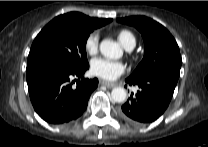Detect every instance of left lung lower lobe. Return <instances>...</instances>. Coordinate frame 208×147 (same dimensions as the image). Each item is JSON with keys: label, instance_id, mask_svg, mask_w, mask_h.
<instances>
[{"label": "left lung lower lobe", "instance_id": "obj_1", "mask_svg": "<svg viewBox=\"0 0 208 147\" xmlns=\"http://www.w3.org/2000/svg\"><path fill=\"white\" fill-rule=\"evenodd\" d=\"M177 79L167 74H151L139 79L127 78L129 85H137V94L119 109L120 117L131 124H146L157 120L167 109Z\"/></svg>", "mask_w": 208, "mask_h": 147}]
</instances>
